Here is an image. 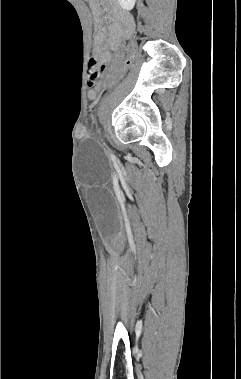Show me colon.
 Segmentation results:
<instances>
[{
    "label": "colon",
    "instance_id": "colon-1",
    "mask_svg": "<svg viewBox=\"0 0 241 379\" xmlns=\"http://www.w3.org/2000/svg\"><path fill=\"white\" fill-rule=\"evenodd\" d=\"M128 42L131 43L129 47V53L128 57L125 58L124 64L120 66V72L115 76V79L119 82L123 81V78L127 74V67L129 65H134L136 62V59L138 57V51L140 50V45L136 44L137 42V37L134 35V33H129L128 35ZM126 67V68H125ZM103 67L99 63V61L96 58H91L89 62V67H88V85L90 87L94 86L97 80L100 78L102 74ZM106 90L107 87L103 84H98L97 85V93H98V98L99 99H104L106 96Z\"/></svg>",
    "mask_w": 241,
    "mask_h": 379
}]
</instances>
